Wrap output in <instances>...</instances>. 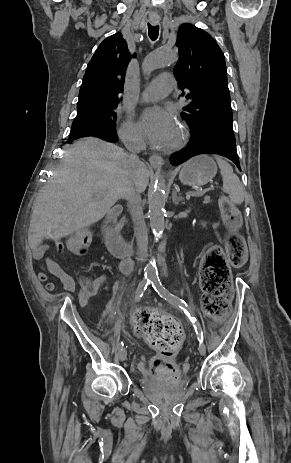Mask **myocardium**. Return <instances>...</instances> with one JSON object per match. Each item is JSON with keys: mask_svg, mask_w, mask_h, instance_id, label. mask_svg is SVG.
Instances as JSON below:
<instances>
[{"mask_svg": "<svg viewBox=\"0 0 291 463\" xmlns=\"http://www.w3.org/2000/svg\"><path fill=\"white\" fill-rule=\"evenodd\" d=\"M188 136L189 134L187 128L184 125L179 124L177 126L176 137L172 142H170V144H168L167 149L177 150L181 148L186 143Z\"/></svg>", "mask_w": 291, "mask_h": 463, "instance_id": "obj_1", "label": "myocardium"}]
</instances>
